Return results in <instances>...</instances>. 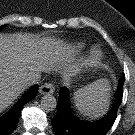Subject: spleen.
I'll use <instances>...</instances> for the list:
<instances>
[{"mask_svg":"<svg viewBox=\"0 0 135 135\" xmlns=\"http://www.w3.org/2000/svg\"><path fill=\"white\" fill-rule=\"evenodd\" d=\"M110 90L108 79L96 80L76 92L75 106L86 116L98 117L104 114L109 107Z\"/></svg>","mask_w":135,"mask_h":135,"instance_id":"obj_1","label":"spleen"}]
</instances>
